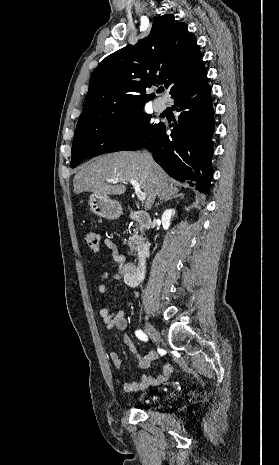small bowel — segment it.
<instances>
[{"label": "small bowel", "mask_w": 279, "mask_h": 465, "mask_svg": "<svg viewBox=\"0 0 279 465\" xmlns=\"http://www.w3.org/2000/svg\"><path fill=\"white\" fill-rule=\"evenodd\" d=\"M105 246L111 254L112 259L118 265L116 272H104L102 274V283L98 285V293L105 299H107L108 286L106 285V280L109 278H114L116 280H125L128 271H130L134 265L126 261L125 256L120 252L118 245L112 239L107 238L105 240ZM127 283V282H126ZM135 287V286H133ZM138 293H134V297H137ZM99 315L105 324L106 329H116L123 331L127 328V320L125 314L122 310L111 311L109 308H102L99 311ZM123 343L129 350V352L134 356L136 362V368L138 371H146L153 360L157 358V353L151 351L144 356L137 354L136 346L131 337L125 334L122 338ZM109 358L113 365L116 368H120L122 365V359L119 354L115 351L109 353ZM173 372V366L170 363H166L162 370L156 376H151L145 373L141 374V377L138 381H125L123 383V390L125 392H135L146 389L150 386L159 385L167 381Z\"/></svg>", "instance_id": "c3829d8e"}]
</instances>
